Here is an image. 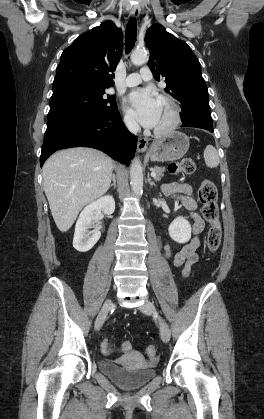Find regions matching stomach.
<instances>
[{"instance_id": "1", "label": "stomach", "mask_w": 264, "mask_h": 419, "mask_svg": "<svg viewBox=\"0 0 264 419\" xmlns=\"http://www.w3.org/2000/svg\"><path fill=\"white\" fill-rule=\"evenodd\" d=\"M189 149V138L182 132L174 131L156 140L149 148L152 161H175L182 158Z\"/></svg>"}]
</instances>
